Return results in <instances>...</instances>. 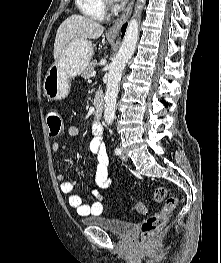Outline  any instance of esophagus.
<instances>
[{"label": "esophagus", "mask_w": 221, "mask_h": 263, "mask_svg": "<svg viewBox=\"0 0 221 263\" xmlns=\"http://www.w3.org/2000/svg\"><path fill=\"white\" fill-rule=\"evenodd\" d=\"M134 5V0H131L126 9L123 11V13L120 15V17L117 19V21L108 29L107 35L116 38L119 36L121 32V27L125 23V21L128 19L129 15L131 14L132 8Z\"/></svg>", "instance_id": "esophagus-1"}]
</instances>
